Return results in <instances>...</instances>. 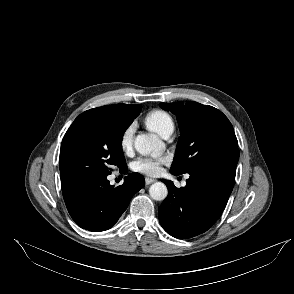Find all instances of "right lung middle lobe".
I'll use <instances>...</instances> for the list:
<instances>
[{"instance_id": "1", "label": "right lung middle lobe", "mask_w": 294, "mask_h": 294, "mask_svg": "<svg viewBox=\"0 0 294 294\" xmlns=\"http://www.w3.org/2000/svg\"><path fill=\"white\" fill-rule=\"evenodd\" d=\"M134 118L102 107L80 114L62 140L61 181L108 176L114 166L125 168L122 138Z\"/></svg>"}]
</instances>
